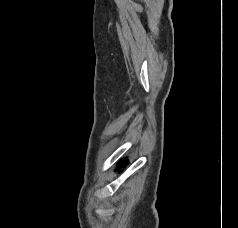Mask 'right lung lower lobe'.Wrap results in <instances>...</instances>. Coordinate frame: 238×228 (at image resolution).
<instances>
[{
	"label": "right lung lower lobe",
	"mask_w": 238,
	"mask_h": 228,
	"mask_svg": "<svg viewBox=\"0 0 238 228\" xmlns=\"http://www.w3.org/2000/svg\"><path fill=\"white\" fill-rule=\"evenodd\" d=\"M127 164V161L126 160H123V161H121V163H120V167H123L124 165H126Z\"/></svg>",
	"instance_id": "98d812e1"
}]
</instances>
